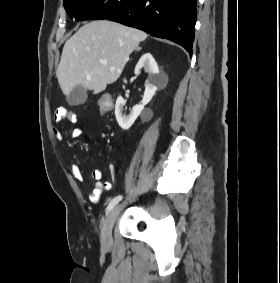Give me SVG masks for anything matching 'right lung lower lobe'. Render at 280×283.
<instances>
[{
  "instance_id": "right-lung-lower-lobe-1",
  "label": "right lung lower lobe",
  "mask_w": 280,
  "mask_h": 283,
  "mask_svg": "<svg viewBox=\"0 0 280 283\" xmlns=\"http://www.w3.org/2000/svg\"><path fill=\"white\" fill-rule=\"evenodd\" d=\"M197 0H132L108 20L169 39L192 55Z\"/></svg>"
}]
</instances>
